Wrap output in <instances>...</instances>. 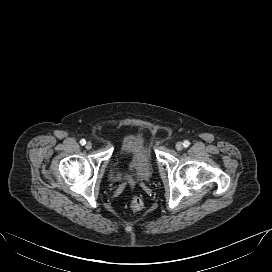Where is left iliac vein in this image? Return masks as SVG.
I'll return each mask as SVG.
<instances>
[{
  "instance_id": "left-iliac-vein-1",
  "label": "left iliac vein",
  "mask_w": 272,
  "mask_h": 272,
  "mask_svg": "<svg viewBox=\"0 0 272 272\" xmlns=\"http://www.w3.org/2000/svg\"><path fill=\"white\" fill-rule=\"evenodd\" d=\"M183 147H184V146H183V143H182V142H177V143H176V149H177V150H182Z\"/></svg>"
}]
</instances>
